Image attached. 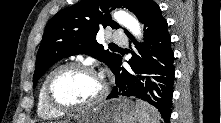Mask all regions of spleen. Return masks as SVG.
Wrapping results in <instances>:
<instances>
[{
    "label": "spleen",
    "mask_w": 221,
    "mask_h": 123,
    "mask_svg": "<svg viewBox=\"0 0 221 123\" xmlns=\"http://www.w3.org/2000/svg\"><path fill=\"white\" fill-rule=\"evenodd\" d=\"M139 123H160V114L156 108L142 101H136Z\"/></svg>",
    "instance_id": "obj_1"
}]
</instances>
